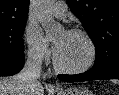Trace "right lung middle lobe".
<instances>
[{
	"mask_svg": "<svg viewBox=\"0 0 119 95\" xmlns=\"http://www.w3.org/2000/svg\"><path fill=\"white\" fill-rule=\"evenodd\" d=\"M26 21L0 25V55L24 53L23 33Z\"/></svg>",
	"mask_w": 119,
	"mask_h": 95,
	"instance_id": "dd1d6c3e",
	"label": "right lung middle lobe"
}]
</instances>
